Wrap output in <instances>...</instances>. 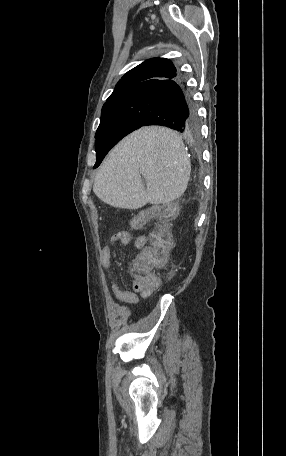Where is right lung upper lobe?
<instances>
[{"instance_id": "cb5924a9", "label": "right lung upper lobe", "mask_w": 286, "mask_h": 456, "mask_svg": "<svg viewBox=\"0 0 286 456\" xmlns=\"http://www.w3.org/2000/svg\"><path fill=\"white\" fill-rule=\"evenodd\" d=\"M176 68L165 58H152L128 71L116 84L106 103L124 98L131 92L176 77Z\"/></svg>"}]
</instances>
